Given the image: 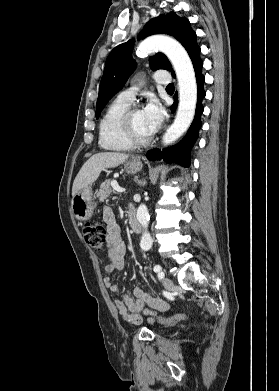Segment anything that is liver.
I'll list each match as a JSON object with an SVG mask.
<instances>
[{
	"mask_svg": "<svg viewBox=\"0 0 279 391\" xmlns=\"http://www.w3.org/2000/svg\"><path fill=\"white\" fill-rule=\"evenodd\" d=\"M128 157V154L116 152H102L91 156L84 163L73 182L72 196L74 197L80 190L94 183L104 168H115Z\"/></svg>",
	"mask_w": 279,
	"mask_h": 391,
	"instance_id": "1",
	"label": "liver"
}]
</instances>
